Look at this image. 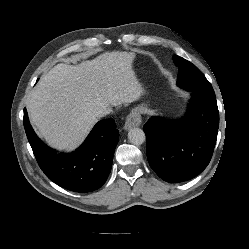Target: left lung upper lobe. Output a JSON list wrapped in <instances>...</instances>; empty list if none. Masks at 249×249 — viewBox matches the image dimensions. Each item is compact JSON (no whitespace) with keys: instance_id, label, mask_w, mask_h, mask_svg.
Returning <instances> with one entry per match:
<instances>
[{"instance_id":"1","label":"left lung upper lobe","mask_w":249,"mask_h":249,"mask_svg":"<svg viewBox=\"0 0 249 249\" xmlns=\"http://www.w3.org/2000/svg\"><path fill=\"white\" fill-rule=\"evenodd\" d=\"M175 65L179 68L177 85L188 91H202L214 94L210 82L191 62L177 55L173 56Z\"/></svg>"}]
</instances>
